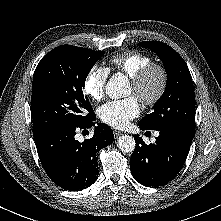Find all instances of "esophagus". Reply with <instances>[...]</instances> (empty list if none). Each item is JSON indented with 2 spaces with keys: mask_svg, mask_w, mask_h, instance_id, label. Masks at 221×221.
Listing matches in <instances>:
<instances>
[{
  "mask_svg": "<svg viewBox=\"0 0 221 221\" xmlns=\"http://www.w3.org/2000/svg\"><path fill=\"white\" fill-rule=\"evenodd\" d=\"M122 134H123V132L118 131V130H114V135H115V137H119V136H121Z\"/></svg>",
  "mask_w": 221,
  "mask_h": 221,
  "instance_id": "1",
  "label": "esophagus"
}]
</instances>
